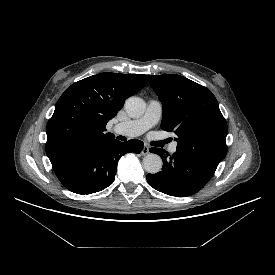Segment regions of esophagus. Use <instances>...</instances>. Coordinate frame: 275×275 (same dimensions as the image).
<instances>
[{
  "mask_svg": "<svg viewBox=\"0 0 275 275\" xmlns=\"http://www.w3.org/2000/svg\"><path fill=\"white\" fill-rule=\"evenodd\" d=\"M141 153L142 155H147L149 153V147L147 145H144Z\"/></svg>",
  "mask_w": 275,
  "mask_h": 275,
  "instance_id": "34e87169",
  "label": "esophagus"
}]
</instances>
